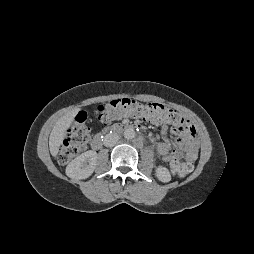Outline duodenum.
Listing matches in <instances>:
<instances>
[{"label": "duodenum", "instance_id": "obj_1", "mask_svg": "<svg viewBox=\"0 0 254 254\" xmlns=\"http://www.w3.org/2000/svg\"><path fill=\"white\" fill-rule=\"evenodd\" d=\"M136 127L134 125H128V124H116L104 131V133L113 131V132H119V131H125V130H135ZM102 146V138L101 135H97L94 140L92 141V147L95 150L100 149Z\"/></svg>", "mask_w": 254, "mask_h": 254}]
</instances>
